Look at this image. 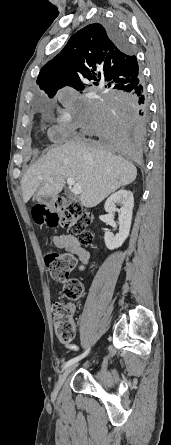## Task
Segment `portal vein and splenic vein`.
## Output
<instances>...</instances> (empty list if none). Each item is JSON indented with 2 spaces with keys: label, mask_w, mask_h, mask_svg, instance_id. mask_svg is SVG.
Listing matches in <instances>:
<instances>
[{
  "label": "portal vein and splenic vein",
  "mask_w": 171,
  "mask_h": 445,
  "mask_svg": "<svg viewBox=\"0 0 171 445\" xmlns=\"http://www.w3.org/2000/svg\"><path fill=\"white\" fill-rule=\"evenodd\" d=\"M49 180H51V179H49ZM67 184H68L70 187H72V193H73L74 195H79V194H81V192H82L81 187H80L79 184H77V183L75 182V180H74L73 178H68V179H67Z\"/></svg>",
  "instance_id": "obj_1"
}]
</instances>
